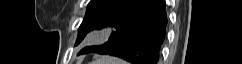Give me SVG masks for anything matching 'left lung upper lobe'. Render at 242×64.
<instances>
[{
  "label": "left lung upper lobe",
  "instance_id": "obj_1",
  "mask_svg": "<svg viewBox=\"0 0 242 64\" xmlns=\"http://www.w3.org/2000/svg\"><path fill=\"white\" fill-rule=\"evenodd\" d=\"M121 1L122 0H91L87 6L83 22L79 27L76 45L84 39L88 32L95 30L101 18Z\"/></svg>",
  "mask_w": 242,
  "mask_h": 64
}]
</instances>
